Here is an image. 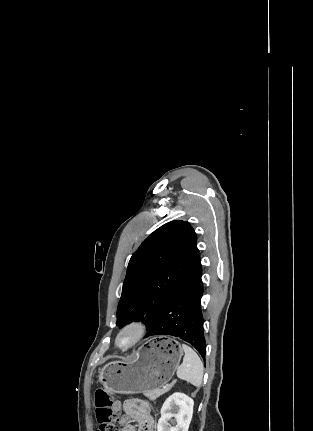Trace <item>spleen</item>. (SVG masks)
<instances>
[{"label":"spleen","mask_w":313,"mask_h":431,"mask_svg":"<svg viewBox=\"0 0 313 431\" xmlns=\"http://www.w3.org/2000/svg\"><path fill=\"white\" fill-rule=\"evenodd\" d=\"M185 353L183 363L177 370V377L185 380L196 387H200L203 381L204 367L197 353L188 345L182 344Z\"/></svg>","instance_id":"spleen-1"}]
</instances>
